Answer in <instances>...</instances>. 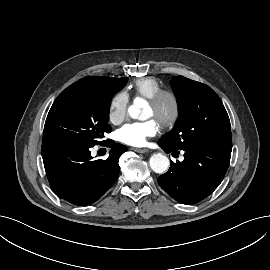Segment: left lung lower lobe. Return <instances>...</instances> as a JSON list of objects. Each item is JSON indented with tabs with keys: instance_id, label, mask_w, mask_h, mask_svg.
<instances>
[{
	"instance_id": "left-lung-lower-lobe-1",
	"label": "left lung lower lobe",
	"mask_w": 270,
	"mask_h": 270,
	"mask_svg": "<svg viewBox=\"0 0 270 270\" xmlns=\"http://www.w3.org/2000/svg\"><path fill=\"white\" fill-rule=\"evenodd\" d=\"M165 152H178L159 142ZM184 150L182 162L171 161L169 171L158 178L161 188L183 204L197 203L221 183L228 169L232 145L196 143Z\"/></svg>"
}]
</instances>
